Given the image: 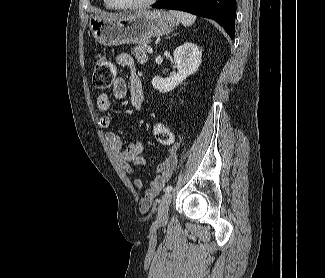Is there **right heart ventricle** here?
Segmentation results:
<instances>
[{"label": "right heart ventricle", "mask_w": 325, "mask_h": 278, "mask_svg": "<svg viewBox=\"0 0 325 278\" xmlns=\"http://www.w3.org/2000/svg\"><path fill=\"white\" fill-rule=\"evenodd\" d=\"M103 5H104L107 9H109V10L117 9V8H115L114 6H112V5L110 4L109 0H103Z\"/></svg>", "instance_id": "e07e8e85"}]
</instances>
